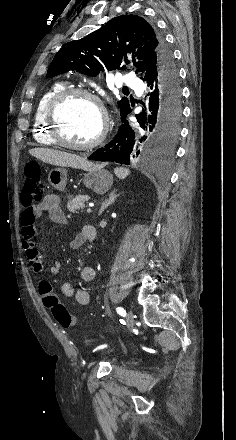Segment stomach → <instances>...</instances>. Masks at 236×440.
<instances>
[{"label":"stomach","mask_w":236,"mask_h":440,"mask_svg":"<svg viewBox=\"0 0 236 440\" xmlns=\"http://www.w3.org/2000/svg\"><path fill=\"white\" fill-rule=\"evenodd\" d=\"M50 184L59 191H64L67 183V170L53 168L48 174ZM84 185L97 194L107 192L113 184L112 174L101 166L88 170L83 177Z\"/></svg>","instance_id":"stomach-1"}]
</instances>
